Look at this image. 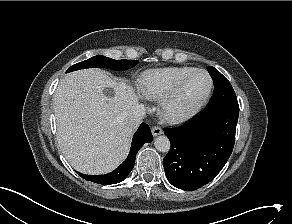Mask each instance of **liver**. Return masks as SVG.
<instances>
[{
    "mask_svg": "<svg viewBox=\"0 0 292 224\" xmlns=\"http://www.w3.org/2000/svg\"><path fill=\"white\" fill-rule=\"evenodd\" d=\"M53 101L58 143L75 170L106 174L125 160L135 130L127 115L138 96L124 80L98 69L75 71L59 82Z\"/></svg>",
    "mask_w": 292,
    "mask_h": 224,
    "instance_id": "1",
    "label": "liver"
}]
</instances>
